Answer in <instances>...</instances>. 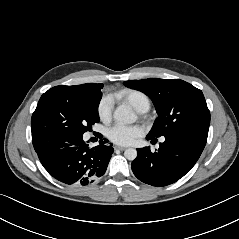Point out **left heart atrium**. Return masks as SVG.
I'll return each mask as SVG.
<instances>
[{"label": "left heart atrium", "mask_w": 239, "mask_h": 239, "mask_svg": "<svg viewBox=\"0 0 239 239\" xmlns=\"http://www.w3.org/2000/svg\"><path fill=\"white\" fill-rule=\"evenodd\" d=\"M142 134L139 126L116 124L108 130V138L118 145H130Z\"/></svg>", "instance_id": "left-heart-atrium-1"}]
</instances>
